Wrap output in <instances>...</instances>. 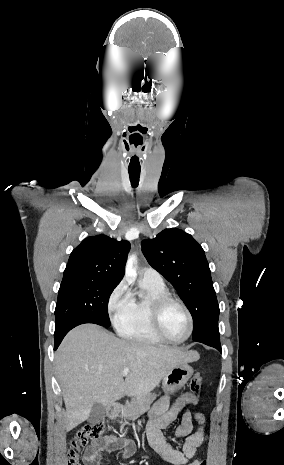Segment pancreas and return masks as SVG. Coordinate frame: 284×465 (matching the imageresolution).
Wrapping results in <instances>:
<instances>
[{"instance_id": "pancreas-1", "label": "pancreas", "mask_w": 284, "mask_h": 465, "mask_svg": "<svg viewBox=\"0 0 284 465\" xmlns=\"http://www.w3.org/2000/svg\"><path fill=\"white\" fill-rule=\"evenodd\" d=\"M157 395L154 393H144V395H137L134 399H131L130 403H126L121 411V417L123 419H128V421H134V419H138L140 415H144L148 409H150V405L152 401H154Z\"/></svg>"}]
</instances>
